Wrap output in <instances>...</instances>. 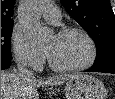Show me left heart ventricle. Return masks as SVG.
I'll return each mask as SVG.
<instances>
[{
  "mask_svg": "<svg viewBox=\"0 0 115 99\" xmlns=\"http://www.w3.org/2000/svg\"><path fill=\"white\" fill-rule=\"evenodd\" d=\"M45 51L49 58L60 66L80 64L89 54L87 42L78 34L52 36L46 43Z\"/></svg>",
  "mask_w": 115,
  "mask_h": 99,
  "instance_id": "1",
  "label": "left heart ventricle"
}]
</instances>
